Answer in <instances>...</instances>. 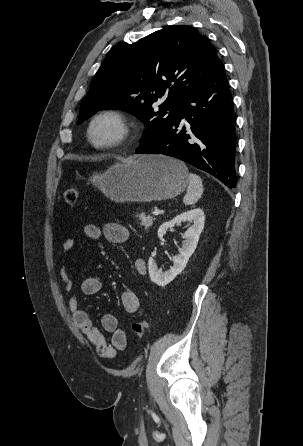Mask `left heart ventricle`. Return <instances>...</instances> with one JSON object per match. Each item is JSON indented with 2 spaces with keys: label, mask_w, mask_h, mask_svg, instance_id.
Returning a JSON list of instances; mask_svg holds the SVG:
<instances>
[{
  "label": "left heart ventricle",
  "mask_w": 303,
  "mask_h": 446,
  "mask_svg": "<svg viewBox=\"0 0 303 446\" xmlns=\"http://www.w3.org/2000/svg\"><path fill=\"white\" fill-rule=\"evenodd\" d=\"M115 134V125L107 119L99 121L92 130V137L97 143H105L111 140Z\"/></svg>",
  "instance_id": "1"
}]
</instances>
